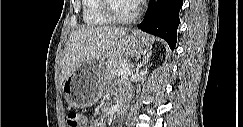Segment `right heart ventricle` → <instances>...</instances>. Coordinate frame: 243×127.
<instances>
[{
	"mask_svg": "<svg viewBox=\"0 0 243 127\" xmlns=\"http://www.w3.org/2000/svg\"><path fill=\"white\" fill-rule=\"evenodd\" d=\"M82 19L87 26L97 27L110 24V19L104 14L102 0H82Z\"/></svg>",
	"mask_w": 243,
	"mask_h": 127,
	"instance_id": "right-heart-ventricle-1",
	"label": "right heart ventricle"
}]
</instances>
